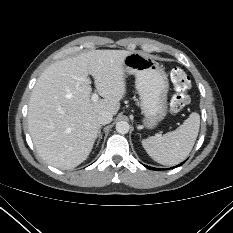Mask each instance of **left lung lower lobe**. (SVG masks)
Here are the masks:
<instances>
[{"label": "left lung lower lobe", "mask_w": 233, "mask_h": 233, "mask_svg": "<svg viewBox=\"0 0 233 233\" xmlns=\"http://www.w3.org/2000/svg\"><path fill=\"white\" fill-rule=\"evenodd\" d=\"M183 163H181V164H179V165H177V166H180V165H182ZM145 167H147L148 169H151V170H157L156 168H153V167H149V166H145Z\"/></svg>", "instance_id": "obj_1"}]
</instances>
